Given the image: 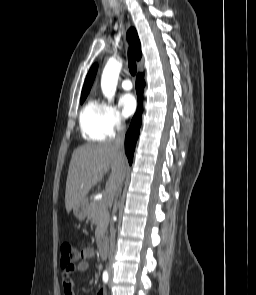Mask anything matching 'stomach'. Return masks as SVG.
I'll list each match as a JSON object with an SVG mask.
<instances>
[{
	"label": "stomach",
	"instance_id": "obj_1",
	"mask_svg": "<svg viewBox=\"0 0 256 295\" xmlns=\"http://www.w3.org/2000/svg\"><path fill=\"white\" fill-rule=\"evenodd\" d=\"M88 212L89 208L87 202L79 204L78 206L73 208L74 216L80 221H83L88 216Z\"/></svg>",
	"mask_w": 256,
	"mask_h": 295
}]
</instances>
